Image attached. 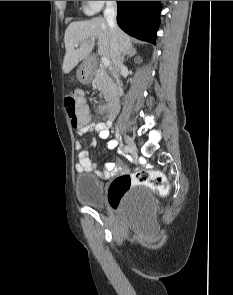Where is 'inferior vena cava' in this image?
<instances>
[{
	"mask_svg": "<svg viewBox=\"0 0 233 295\" xmlns=\"http://www.w3.org/2000/svg\"><path fill=\"white\" fill-rule=\"evenodd\" d=\"M117 4L116 1H106V8L104 10V17L107 21L111 32V51H112V62L115 68L122 72L124 70L123 57L119 48L117 40Z\"/></svg>",
	"mask_w": 233,
	"mask_h": 295,
	"instance_id": "obj_1",
	"label": "inferior vena cava"
}]
</instances>
